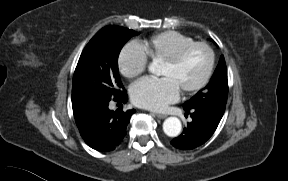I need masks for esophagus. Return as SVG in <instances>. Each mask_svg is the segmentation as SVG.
I'll return each instance as SVG.
<instances>
[{"instance_id":"1","label":"esophagus","mask_w":288,"mask_h":181,"mask_svg":"<svg viewBox=\"0 0 288 181\" xmlns=\"http://www.w3.org/2000/svg\"><path fill=\"white\" fill-rule=\"evenodd\" d=\"M154 115H155L157 118H159V119H164V118L167 117L166 114H161V113H154Z\"/></svg>"}]
</instances>
